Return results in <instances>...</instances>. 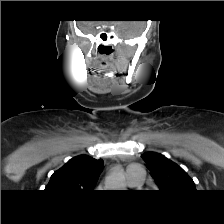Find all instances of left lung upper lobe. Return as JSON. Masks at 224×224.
Wrapping results in <instances>:
<instances>
[{
    "label": "left lung upper lobe",
    "mask_w": 224,
    "mask_h": 224,
    "mask_svg": "<svg viewBox=\"0 0 224 224\" xmlns=\"http://www.w3.org/2000/svg\"><path fill=\"white\" fill-rule=\"evenodd\" d=\"M148 165L153 179L166 194H179L196 191L194 181L177 164L164 155L146 152L141 156Z\"/></svg>",
    "instance_id": "5c2ea615"
}]
</instances>
